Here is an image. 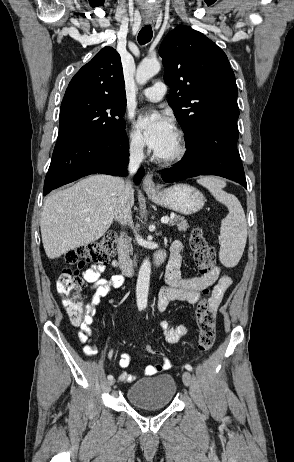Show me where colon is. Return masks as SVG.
Returning a JSON list of instances; mask_svg holds the SVG:
<instances>
[{
	"label": "colon",
	"instance_id": "5ec220e1",
	"mask_svg": "<svg viewBox=\"0 0 294 462\" xmlns=\"http://www.w3.org/2000/svg\"><path fill=\"white\" fill-rule=\"evenodd\" d=\"M114 242L115 233L107 232L94 242L68 251L65 256L66 266L57 279L56 289L62 298V303L69 319L74 325L80 324L83 317L80 292L84 289L86 282L80 276V269L88 263L107 264L115 252ZM190 246L201 276L211 275L215 267L216 251L205 240L199 229L192 232ZM204 294L207 295V298L198 304L196 315L199 329L198 350L200 353L208 352L212 348L216 337V311L210 301V291L206 289ZM145 350L153 355L159 354L149 345L145 347Z\"/></svg>",
	"mask_w": 294,
	"mask_h": 462
}]
</instances>
